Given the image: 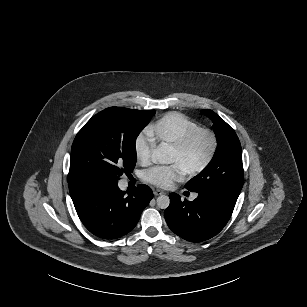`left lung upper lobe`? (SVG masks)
Here are the masks:
<instances>
[{
  "instance_id": "5c2ea615",
  "label": "left lung upper lobe",
  "mask_w": 307,
  "mask_h": 307,
  "mask_svg": "<svg viewBox=\"0 0 307 307\" xmlns=\"http://www.w3.org/2000/svg\"><path fill=\"white\" fill-rule=\"evenodd\" d=\"M213 121L217 148L210 163L186 183V189L204 194H217L234 201L242 189V150L235 131L215 112L205 110Z\"/></svg>"
}]
</instances>
